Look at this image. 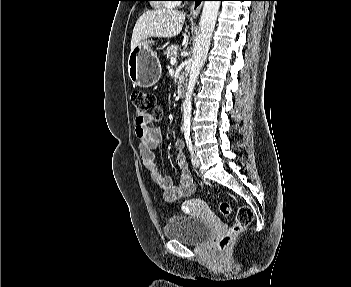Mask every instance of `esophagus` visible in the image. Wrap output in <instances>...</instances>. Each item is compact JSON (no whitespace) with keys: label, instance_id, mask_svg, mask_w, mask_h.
<instances>
[{"label":"esophagus","instance_id":"esophagus-1","mask_svg":"<svg viewBox=\"0 0 351 287\" xmlns=\"http://www.w3.org/2000/svg\"><path fill=\"white\" fill-rule=\"evenodd\" d=\"M203 0H194L191 5L190 15L192 18H196L201 10Z\"/></svg>","mask_w":351,"mask_h":287}]
</instances>
